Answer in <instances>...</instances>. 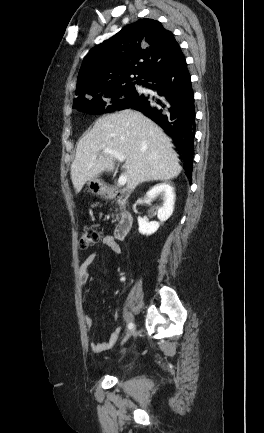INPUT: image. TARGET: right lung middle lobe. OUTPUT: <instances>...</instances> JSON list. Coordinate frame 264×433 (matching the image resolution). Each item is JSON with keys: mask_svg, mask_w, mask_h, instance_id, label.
<instances>
[{"mask_svg": "<svg viewBox=\"0 0 264 433\" xmlns=\"http://www.w3.org/2000/svg\"><path fill=\"white\" fill-rule=\"evenodd\" d=\"M102 95L109 99L103 100ZM138 93L134 83L118 86L109 91L75 101L73 108L89 114H104L122 109L126 103L133 100Z\"/></svg>", "mask_w": 264, "mask_h": 433, "instance_id": "right-lung-middle-lobe-1", "label": "right lung middle lobe"}]
</instances>
